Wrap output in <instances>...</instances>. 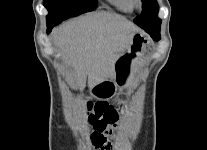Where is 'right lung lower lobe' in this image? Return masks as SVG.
Instances as JSON below:
<instances>
[{
	"mask_svg": "<svg viewBox=\"0 0 207 150\" xmlns=\"http://www.w3.org/2000/svg\"><path fill=\"white\" fill-rule=\"evenodd\" d=\"M57 25L56 23H47L48 29H47V33H49L52 29L53 26Z\"/></svg>",
	"mask_w": 207,
	"mask_h": 150,
	"instance_id": "98d812e1",
	"label": "right lung lower lobe"
}]
</instances>
